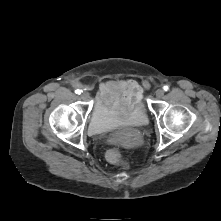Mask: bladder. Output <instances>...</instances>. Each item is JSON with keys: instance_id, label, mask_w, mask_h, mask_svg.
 Returning <instances> with one entry per match:
<instances>
[{"instance_id": "31cf9c89", "label": "bladder", "mask_w": 221, "mask_h": 221, "mask_svg": "<svg viewBox=\"0 0 221 221\" xmlns=\"http://www.w3.org/2000/svg\"><path fill=\"white\" fill-rule=\"evenodd\" d=\"M147 122V112L141 102L131 110H125L119 104L108 103L100 93L90 116L89 130L94 135H102L122 125L143 126Z\"/></svg>"}]
</instances>
